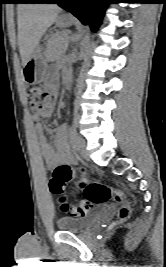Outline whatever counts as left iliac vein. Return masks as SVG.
I'll use <instances>...</instances> for the list:
<instances>
[{"label": "left iliac vein", "instance_id": "4c4485c4", "mask_svg": "<svg viewBox=\"0 0 166 267\" xmlns=\"http://www.w3.org/2000/svg\"><path fill=\"white\" fill-rule=\"evenodd\" d=\"M75 147L78 151V153L86 160L89 159L88 157V152L86 150V142L84 139H82L80 136L76 137V143H75Z\"/></svg>", "mask_w": 166, "mask_h": 267}]
</instances>
